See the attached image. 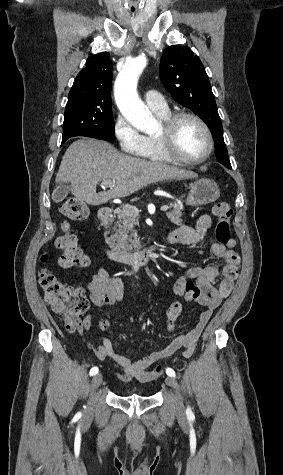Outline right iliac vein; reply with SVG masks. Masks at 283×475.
I'll return each mask as SVG.
<instances>
[{
	"label": "right iliac vein",
	"instance_id": "right-iliac-vein-1",
	"mask_svg": "<svg viewBox=\"0 0 283 475\" xmlns=\"http://www.w3.org/2000/svg\"><path fill=\"white\" fill-rule=\"evenodd\" d=\"M102 383V375L97 374L92 378V390H95Z\"/></svg>",
	"mask_w": 283,
	"mask_h": 475
}]
</instances>
